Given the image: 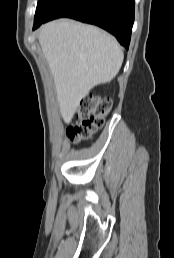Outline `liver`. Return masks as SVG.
<instances>
[{
  "label": "liver",
  "instance_id": "1",
  "mask_svg": "<svg viewBox=\"0 0 174 258\" xmlns=\"http://www.w3.org/2000/svg\"><path fill=\"white\" fill-rule=\"evenodd\" d=\"M38 40L54 78L65 122L70 121L93 87L110 82L117 75L124 58L113 36L73 20L46 23Z\"/></svg>",
  "mask_w": 174,
  "mask_h": 258
}]
</instances>
